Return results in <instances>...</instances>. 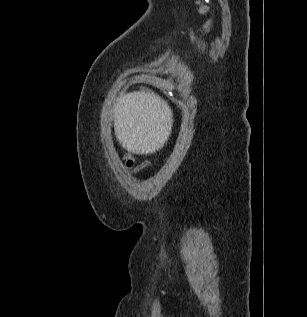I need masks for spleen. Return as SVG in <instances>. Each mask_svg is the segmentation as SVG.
I'll list each match as a JSON object with an SVG mask.
<instances>
[{
    "mask_svg": "<svg viewBox=\"0 0 307 317\" xmlns=\"http://www.w3.org/2000/svg\"><path fill=\"white\" fill-rule=\"evenodd\" d=\"M159 91H152L144 86L142 91L129 94L115 112V131L118 140L128 150L137 151L138 155H147L146 150L163 148L164 139H169L173 122H167L168 108L157 98ZM150 98V99H148Z\"/></svg>",
    "mask_w": 307,
    "mask_h": 317,
    "instance_id": "1",
    "label": "spleen"
}]
</instances>
